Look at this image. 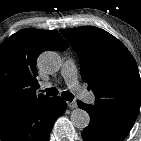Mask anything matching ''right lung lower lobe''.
Listing matches in <instances>:
<instances>
[{"instance_id": "98d812e1", "label": "right lung lower lobe", "mask_w": 141, "mask_h": 141, "mask_svg": "<svg viewBox=\"0 0 141 141\" xmlns=\"http://www.w3.org/2000/svg\"><path fill=\"white\" fill-rule=\"evenodd\" d=\"M66 109L61 97H52L8 113L0 120L2 141H48L55 120Z\"/></svg>"}]
</instances>
